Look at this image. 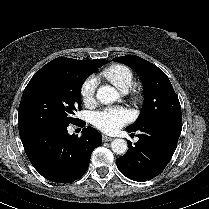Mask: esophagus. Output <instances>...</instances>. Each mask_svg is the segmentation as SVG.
<instances>
[{"label": "esophagus", "mask_w": 209, "mask_h": 209, "mask_svg": "<svg viewBox=\"0 0 209 209\" xmlns=\"http://www.w3.org/2000/svg\"><path fill=\"white\" fill-rule=\"evenodd\" d=\"M102 140H103V142H109V141H112L113 138H112V137H109V136H107V135H103V136H102Z\"/></svg>", "instance_id": "obj_1"}]
</instances>
